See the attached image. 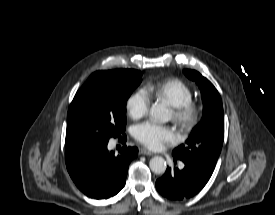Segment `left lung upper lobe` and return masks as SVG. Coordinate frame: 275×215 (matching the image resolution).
Masks as SVG:
<instances>
[{"instance_id": "left-lung-upper-lobe-1", "label": "left lung upper lobe", "mask_w": 275, "mask_h": 215, "mask_svg": "<svg viewBox=\"0 0 275 215\" xmlns=\"http://www.w3.org/2000/svg\"><path fill=\"white\" fill-rule=\"evenodd\" d=\"M201 90L202 120L193 128L186 144L173 150V156L183 162L214 169L224 140V114L221 97L212 83L195 70H184Z\"/></svg>"}]
</instances>
